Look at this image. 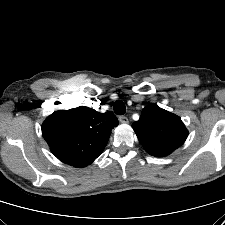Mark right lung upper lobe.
I'll list each match as a JSON object with an SVG mask.
<instances>
[{
	"label": "right lung upper lobe",
	"instance_id": "1",
	"mask_svg": "<svg viewBox=\"0 0 225 225\" xmlns=\"http://www.w3.org/2000/svg\"><path fill=\"white\" fill-rule=\"evenodd\" d=\"M117 125L118 120L110 111L99 113L80 106L50 115L42 125V135L60 161L82 168L102 153Z\"/></svg>",
	"mask_w": 225,
	"mask_h": 225
}]
</instances>
